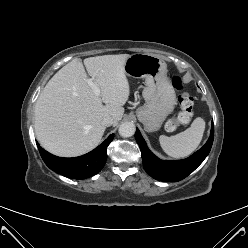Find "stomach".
Segmentation results:
<instances>
[{"label": "stomach", "mask_w": 248, "mask_h": 248, "mask_svg": "<svg viewBox=\"0 0 248 248\" xmlns=\"http://www.w3.org/2000/svg\"><path fill=\"white\" fill-rule=\"evenodd\" d=\"M124 71L130 77L145 79V104L137 109L136 115L147 132L160 129L176 104V94L167 77L166 63L156 55L138 53L126 60Z\"/></svg>", "instance_id": "0dacf381"}]
</instances>
